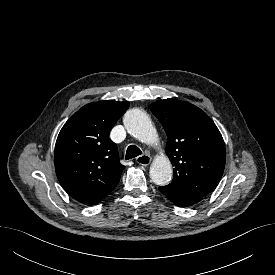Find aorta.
Listing matches in <instances>:
<instances>
[{
	"label": "aorta",
	"mask_w": 275,
	"mask_h": 275,
	"mask_svg": "<svg viewBox=\"0 0 275 275\" xmlns=\"http://www.w3.org/2000/svg\"><path fill=\"white\" fill-rule=\"evenodd\" d=\"M123 123L127 131L144 143H153L157 132L148 115L138 108L126 112ZM173 175L172 165L167 157L156 158L150 167V177L159 186L167 185Z\"/></svg>",
	"instance_id": "aorta-1"
}]
</instances>
